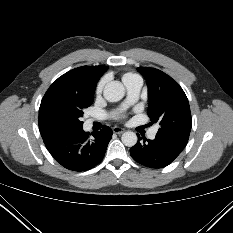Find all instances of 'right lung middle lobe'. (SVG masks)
I'll list each match as a JSON object with an SVG mask.
<instances>
[{"mask_svg":"<svg viewBox=\"0 0 233 233\" xmlns=\"http://www.w3.org/2000/svg\"><path fill=\"white\" fill-rule=\"evenodd\" d=\"M93 95L94 93L78 95L58 102L51 109L52 122L68 131L81 128L83 122L80 118L83 117V110L92 104Z\"/></svg>","mask_w":233,"mask_h":233,"instance_id":"right-lung-middle-lobe-1","label":"right lung middle lobe"}]
</instances>
